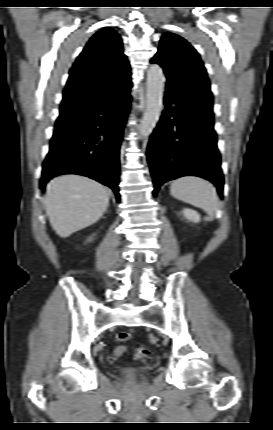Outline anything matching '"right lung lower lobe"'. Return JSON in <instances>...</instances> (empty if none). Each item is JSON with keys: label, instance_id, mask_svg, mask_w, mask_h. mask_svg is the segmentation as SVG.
<instances>
[{"label": "right lung lower lobe", "instance_id": "right-lung-lower-lobe-1", "mask_svg": "<svg viewBox=\"0 0 273 430\" xmlns=\"http://www.w3.org/2000/svg\"><path fill=\"white\" fill-rule=\"evenodd\" d=\"M101 89L71 124L55 128L40 188L61 174H80L109 186L120 201V144L130 110V88Z\"/></svg>", "mask_w": 273, "mask_h": 430}]
</instances>
